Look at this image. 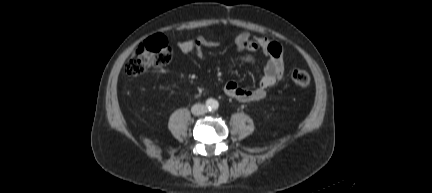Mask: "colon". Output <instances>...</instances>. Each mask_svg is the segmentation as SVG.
Instances as JSON below:
<instances>
[{"instance_id": "1", "label": "colon", "mask_w": 432, "mask_h": 193, "mask_svg": "<svg viewBox=\"0 0 432 193\" xmlns=\"http://www.w3.org/2000/svg\"><path fill=\"white\" fill-rule=\"evenodd\" d=\"M173 49L165 37L155 35L143 42L134 51L125 64V71L131 76H138L151 68L161 67L171 61ZM291 79L300 88H306L311 82L309 73L302 69L291 72Z\"/></svg>"}]
</instances>
